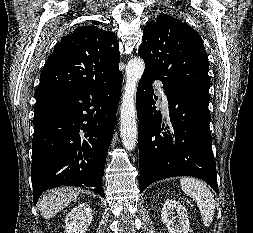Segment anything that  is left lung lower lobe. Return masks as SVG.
Wrapping results in <instances>:
<instances>
[{
    "label": "left lung lower lobe",
    "mask_w": 253,
    "mask_h": 233,
    "mask_svg": "<svg viewBox=\"0 0 253 233\" xmlns=\"http://www.w3.org/2000/svg\"><path fill=\"white\" fill-rule=\"evenodd\" d=\"M155 79L144 72L136 94L140 190L164 178L193 176L219 193L209 128V91L189 88L174 92L163 87L170 120L164 124L153 98L151 83Z\"/></svg>",
    "instance_id": "1"
}]
</instances>
